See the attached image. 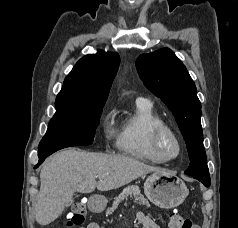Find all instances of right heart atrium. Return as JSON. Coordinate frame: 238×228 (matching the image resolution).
Wrapping results in <instances>:
<instances>
[{
  "label": "right heart atrium",
  "instance_id": "right-heart-atrium-1",
  "mask_svg": "<svg viewBox=\"0 0 238 228\" xmlns=\"http://www.w3.org/2000/svg\"><path fill=\"white\" fill-rule=\"evenodd\" d=\"M115 112L110 111L106 114L103 121V132L106 141H112L118 137L117 130L114 126Z\"/></svg>",
  "mask_w": 238,
  "mask_h": 228
}]
</instances>
